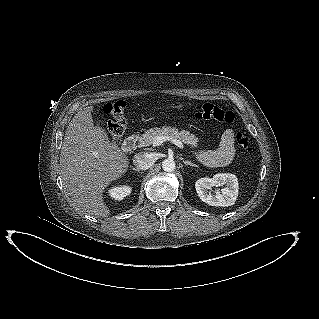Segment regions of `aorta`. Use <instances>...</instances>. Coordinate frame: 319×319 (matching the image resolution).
Here are the masks:
<instances>
[{
	"label": "aorta",
	"instance_id": "762f6f07",
	"mask_svg": "<svg viewBox=\"0 0 319 319\" xmlns=\"http://www.w3.org/2000/svg\"><path fill=\"white\" fill-rule=\"evenodd\" d=\"M175 162L172 159H166L162 162V168L166 172H172L175 170Z\"/></svg>",
	"mask_w": 319,
	"mask_h": 319
}]
</instances>
